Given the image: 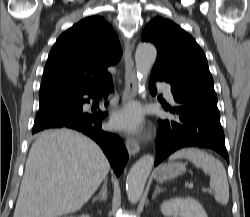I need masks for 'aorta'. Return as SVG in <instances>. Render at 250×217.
<instances>
[{
    "label": "aorta",
    "mask_w": 250,
    "mask_h": 217,
    "mask_svg": "<svg viewBox=\"0 0 250 217\" xmlns=\"http://www.w3.org/2000/svg\"><path fill=\"white\" fill-rule=\"evenodd\" d=\"M157 57V50L152 44H140L135 53L136 71L139 82V93H143V83L146 80ZM155 157L145 155L130 169L126 180L128 200L136 203L141 198L144 186L153 168Z\"/></svg>",
    "instance_id": "aorta-1"
}]
</instances>
